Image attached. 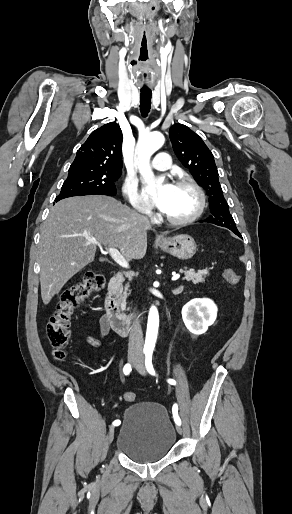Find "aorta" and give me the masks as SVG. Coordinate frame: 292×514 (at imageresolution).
<instances>
[{"label": "aorta", "mask_w": 292, "mask_h": 514, "mask_svg": "<svg viewBox=\"0 0 292 514\" xmlns=\"http://www.w3.org/2000/svg\"><path fill=\"white\" fill-rule=\"evenodd\" d=\"M165 142V138L163 134L160 132H151V134H145V136H141L139 138V142L137 144L138 150V158H139V172L146 180V182H151L154 178V174L149 166L150 158L154 152H157L161 146H163ZM163 182V180H161ZM159 328V314L157 308L152 306L150 308L149 316H148V324H147V332H146V342L145 348L148 350H153L155 346V342L157 340Z\"/></svg>", "instance_id": "1"}]
</instances>
